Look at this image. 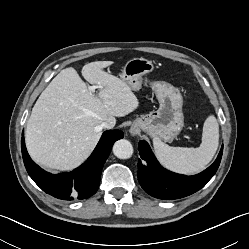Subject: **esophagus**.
Segmentation results:
<instances>
[{
    "instance_id": "34e87169",
    "label": "esophagus",
    "mask_w": 249,
    "mask_h": 249,
    "mask_svg": "<svg viewBox=\"0 0 249 249\" xmlns=\"http://www.w3.org/2000/svg\"><path fill=\"white\" fill-rule=\"evenodd\" d=\"M130 132H131V134L135 135V134H137L138 129H136L135 127H131Z\"/></svg>"
}]
</instances>
